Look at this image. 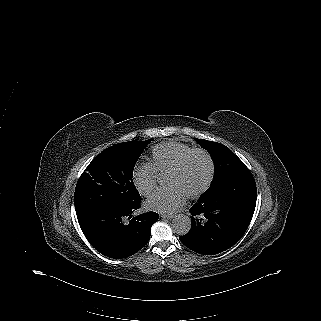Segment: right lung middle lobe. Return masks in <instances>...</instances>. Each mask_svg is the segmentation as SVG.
<instances>
[{
	"mask_svg": "<svg viewBox=\"0 0 321 321\" xmlns=\"http://www.w3.org/2000/svg\"><path fill=\"white\" fill-rule=\"evenodd\" d=\"M146 142L115 144L91 161L76 185L74 204L77 214L109 207H129L140 200L131 179L135 162Z\"/></svg>",
	"mask_w": 321,
	"mask_h": 321,
	"instance_id": "right-lung-middle-lobe-1",
	"label": "right lung middle lobe"
}]
</instances>
